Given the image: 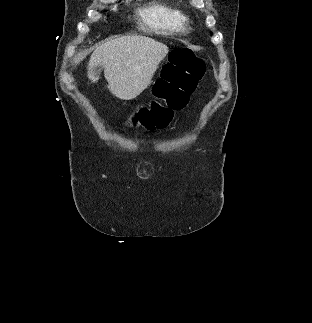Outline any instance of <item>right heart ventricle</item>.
Listing matches in <instances>:
<instances>
[{"instance_id":"e07e8e85","label":"right heart ventricle","mask_w":312,"mask_h":323,"mask_svg":"<svg viewBox=\"0 0 312 323\" xmlns=\"http://www.w3.org/2000/svg\"><path fill=\"white\" fill-rule=\"evenodd\" d=\"M163 1L147 0V5H135L130 9V18L144 20L148 29H160L162 33L167 29H178L179 33H194L197 21L194 13H190L188 5H184L183 1Z\"/></svg>"}]
</instances>
